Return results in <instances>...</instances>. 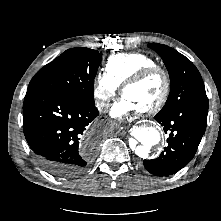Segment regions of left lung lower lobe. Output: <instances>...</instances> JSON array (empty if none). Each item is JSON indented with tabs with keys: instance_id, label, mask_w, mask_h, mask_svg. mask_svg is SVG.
<instances>
[{
	"instance_id": "0a47b994",
	"label": "left lung lower lobe",
	"mask_w": 221,
	"mask_h": 221,
	"mask_svg": "<svg viewBox=\"0 0 221 221\" xmlns=\"http://www.w3.org/2000/svg\"><path fill=\"white\" fill-rule=\"evenodd\" d=\"M208 105L187 103L159 112L154 118L169 133L168 146L156 159L144 160V167L156 176L172 175L194 157L206 130Z\"/></svg>"
}]
</instances>
